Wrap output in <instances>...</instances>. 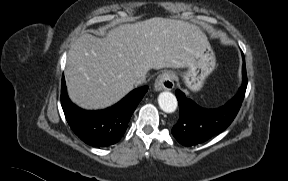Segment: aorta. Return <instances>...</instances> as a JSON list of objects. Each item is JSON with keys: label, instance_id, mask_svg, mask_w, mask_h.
Masks as SVG:
<instances>
[{"label": "aorta", "instance_id": "obj_1", "mask_svg": "<svg viewBox=\"0 0 288 181\" xmlns=\"http://www.w3.org/2000/svg\"><path fill=\"white\" fill-rule=\"evenodd\" d=\"M158 104L164 112L173 113L177 108V99L173 93L164 91L158 96Z\"/></svg>", "mask_w": 288, "mask_h": 181}]
</instances>
